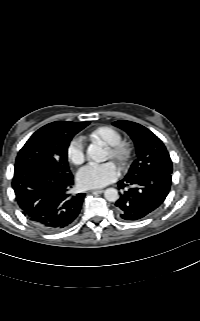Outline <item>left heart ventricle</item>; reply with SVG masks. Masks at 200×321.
<instances>
[{
	"mask_svg": "<svg viewBox=\"0 0 200 321\" xmlns=\"http://www.w3.org/2000/svg\"><path fill=\"white\" fill-rule=\"evenodd\" d=\"M106 157H107V158H111V157H110V153H109V151H107V153H106Z\"/></svg>",
	"mask_w": 200,
	"mask_h": 321,
	"instance_id": "b2bd125f",
	"label": "left heart ventricle"
}]
</instances>
